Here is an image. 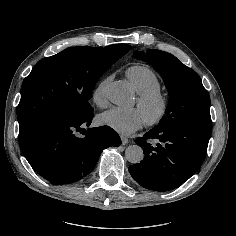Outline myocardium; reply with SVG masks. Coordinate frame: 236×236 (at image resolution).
Masks as SVG:
<instances>
[{
    "label": "myocardium",
    "mask_w": 236,
    "mask_h": 236,
    "mask_svg": "<svg viewBox=\"0 0 236 236\" xmlns=\"http://www.w3.org/2000/svg\"><path fill=\"white\" fill-rule=\"evenodd\" d=\"M137 104L147 114L146 124L149 127L162 123L170 110L169 98L160 91L140 95L137 99Z\"/></svg>",
    "instance_id": "obj_1"
}]
</instances>
